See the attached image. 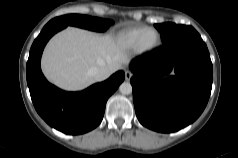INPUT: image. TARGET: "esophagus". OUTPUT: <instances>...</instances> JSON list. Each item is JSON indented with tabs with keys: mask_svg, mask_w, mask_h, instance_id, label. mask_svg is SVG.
Returning <instances> with one entry per match:
<instances>
[{
	"mask_svg": "<svg viewBox=\"0 0 238 158\" xmlns=\"http://www.w3.org/2000/svg\"><path fill=\"white\" fill-rule=\"evenodd\" d=\"M132 76H133V73H132L131 71H129V70H126V71H125V79H126L127 81H129Z\"/></svg>",
	"mask_w": 238,
	"mask_h": 158,
	"instance_id": "1",
	"label": "esophagus"
}]
</instances>
